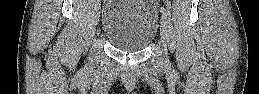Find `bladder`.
Masks as SVG:
<instances>
[{"mask_svg": "<svg viewBox=\"0 0 259 94\" xmlns=\"http://www.w3.org/2000/svg\"><path fill=\"white\" fill-rule=\"evenodd\" d=\"M102 34L117 49H145L158 32V12L149 0H108L102 11Z\"/></svg>", "mask_w": 259, "mask_h": 94, "instance_id": "obj_1", "label": "bladder"}]
</instances>
